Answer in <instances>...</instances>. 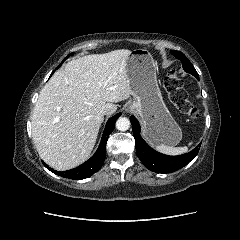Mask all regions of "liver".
Segmentation results:
<instances>
[{"label": "liver", "mask_w": 240, "mask_h": 240, "mask_svg": "<svg viewBox=\"0 0 240 240\" xmlns=\"http://www.w3.org/2000/svg\"><path fill=\"white\" fill-rule=\"evenodd\" d=\"M130 53L121 49L71 60L43 87L32 114V138L50 167L68 170L88 159L104 115L132 95Z\"/></svg>", "instance_id": "liver-1"}]
</instances>
